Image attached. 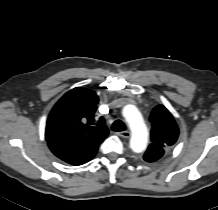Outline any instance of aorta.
<instances>
[{"label": "aorta", "instance_id": "obj_1", "mask_svg": "<svg viewBox=\"0 0 218 210\" xmlns=\"http://www.w3.org/2000/svg\"><path fill=\"white\" fill-rule=\"evenodd\" d=\"M123 116L131 130L130 147L134 152H142L148 142V130L143 118L134 105H126L123 109Z\"/></svg>", "mask_w": 218, "mask_h": 210}]
</instances>
